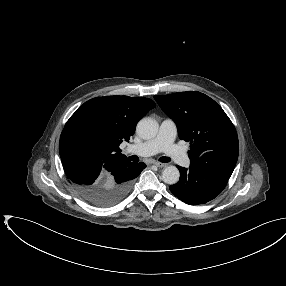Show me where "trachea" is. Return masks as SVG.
Listing matches in <instances>:
<instances>
[{"instance_id":"trachea-1","label":"trachea","mask_w":286,"mask_h":286,"mask_svg":"<svg viewBox=\"0 0 286 286\" xmlns=\"http://www.w3.org/2000/svg\"><path fill=\"white\" fill-rule=\"evenodd\" d=\"M159 161L163 162V163H168V162H170V158L166 157V156H163V157L159 158Z\"/></svg>"}]
</instances>
